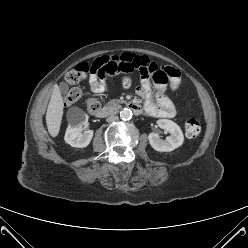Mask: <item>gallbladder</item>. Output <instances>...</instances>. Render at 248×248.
Instances as JSON below:
<instances>
[{"instance_id": "bac80fb5", "label": "gallbladder", "mask_w": 248, "mask_h": 248, "mask_svg": "<svg viewBox=\"0 0 248 248\" xmlns=\"http://www.w3.org/2000/svg\"><path fill=\"white\" fill-rule=\"evenodd\" d=\"M60 89L62 92L66 93L68 91V85L63 82L60 84Z\"/></svg>"}]
</instances>
